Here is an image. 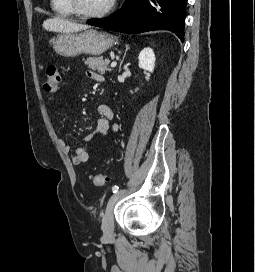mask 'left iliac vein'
<instances>
[{
  "label": "left iliac vein",
  "instance_id": "4c4485c4",
  "mask_svg": "<svg viewBox=\"0 0 255 272\" xmlns=\"http://www.w3.org/2000/svg\"><path fill=\"white\" fill-rule=\"evenodd\" d=\"M121 197L120 192L114 193L107 204L105 215L102 219V231L106 237L111 236L114 231V215L113 210L116 202Z\"/></svg>",
  "mask_w": 255,
  "mask_h": 272
}]
</instances>
